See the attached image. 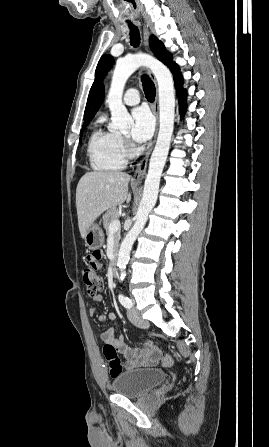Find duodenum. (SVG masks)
I'll list each match as a JSON object with an SVG mask.
<instances>
[{
  "mask_svg": "<svg viewBox=\"0 0 269 447\" xmlns=\"http://www.w3.org/2000/svg\"><path fill=\"white\" fill-rule=\"evenodd\" d=\"M117 252H113L110 258L111 274L115 276L117 274Z\"/></svg>",
  "mask_w": 269,
  "mask_h": 447,
  "instance_id": "duodenum-1",
  "label": "duodenum"
}]
</instances>
